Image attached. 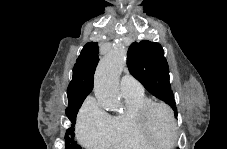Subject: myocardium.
Masks as SVG:
<instances>
[{
  "instance_id": "1",
  "label": "myocardium",
  "mask_w": 227,
  "mask_h": 149,
  "mask_svg": "<svg viewBox=\"0 0 227 149\" xmlns=\"http://www.w3.org/2000/svg\"><path fill=\"white\" fill-rule=\"evenodd\" d=\"M155 109H162L168 115L171 124V140L167 144L157 143L149 131V118ZM136 125L141 137L151 146H173L177 140V125L172 109L165 103L150 101L141 106L135 115Z\"/></svg>"
}]
</instances>
